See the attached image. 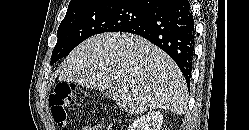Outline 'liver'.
Segmentation results:
<instances>
[{
  "mask_svg": "<svg viewBox=\"0 0 249 130\" xmlns=\"http://www.w3.org/2000/svg\"><path fill=\"white\" fill-rule=\"evenodd\" d=\"M87 88H110L115 103L131 114L166 109L184 114L185 79L176 63L146 39L129 33H103L78 45L59 77Z\"/></svg>",
  "mask_w": 249,
  "mask_h": 130,
  "instance_id": "1",
  "label": "liver"
}]
</instances>
